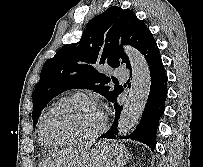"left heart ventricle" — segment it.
<instances>
[{
	"label": "left heart ventricle",
	"instance_id": "left-heart-ventricle-1",
	"mask_svg": "<svg viewBox=\"0 0 203 167\" xmlns=\"http://www.w3.org/2000/svg\"><path fill=\"white\" fill-rule=\"evenodd\" d=\"M100 124L101 115L94 107L76 101L53 113L46 122V130L53 138L68 140L88 136Z\"/></svg>",
	"mask_w": 203,
	"mask_h": 167
}]
</instances>
